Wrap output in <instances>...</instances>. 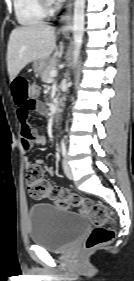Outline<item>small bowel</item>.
<instances>
[{"mask_svg": "<svg viewBox=\"0 0 134 281\" xmlns=\"http://www.w3.org/2000/svg\"><path fill=\"white\" fill-rule=\"evenodd\" d=\"M29 85V80L22 75L15 76L11 82V92L18 106L17 114L21 123L22 148L26 154L34 145H44L46 143L45 134L40 133L29 122L30 112L45 113L44 105L29 97ZM42 164L43 160L41 158L35 159L34 162L27 160L28 167L32 165L41 166ZM44 170L51 176L55 173L54 168L51 166H44Z\"/></svg>", "mask_w": 134, "mask_h": 281, "instance_id": "1", "label": "small bowel"}]
</instances>
